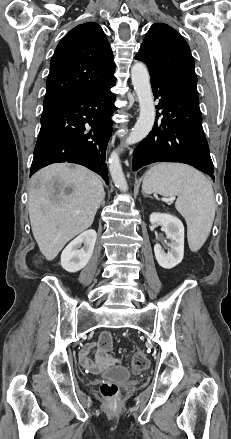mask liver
Instances as JSON below:
<instances>
[{"instance_id": "6515ba94", "label": "liver", "mask_w": 231, "mask_h": 439, "mask_svg": "<svg viewBox=\"0 0 231 439\" xmlns=\"http://www.w3.org/2000/svg\"><path fill=\"white\" fill-rule=\"evenodd\" d=\"M104 197L101 180L82 166L57 163L33 175L29 218L33 236L48 261L92 225Z\"/></svg>"}]
</instances>
